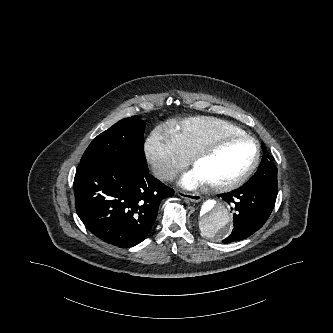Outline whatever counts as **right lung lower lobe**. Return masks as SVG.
<instances>
[{
  "label": "right lung lower lobe",
  "mask_w": 333,
  "mask_h": 333,
  "mask_svg": "<svg viewBox=\"0 0 333 333\" xmlns=\"http://www.w3.org/2000/svg\"><path fill=\"white\" fill-rule=\"evenodd\" d=\"M74 193L77 214L86 228L101 240L124 248L146 238L160 202L174 195L147 167L107 162L79 165Z\"/></svg>",
  "instance_id": "98d812e1"
}]
</instances>
